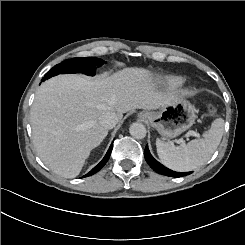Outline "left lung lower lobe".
Instances as JSON below:
<instances>
[{"mask_svg":"<svg viewBox=\"0 0 245 245\" xmlns=\"http://www.w3.org/2000/svg\"><path fill=\"white\" fill-rule=\"evenodd\" d=\"M144 156L149 166L159 174L170 176V177H182L190 174V172L179 173L166 168L152 157V155L149 152L148 146L145 147Z\"/></svg>","mask_w":245,"mask_h":245,"instance_id":"0a47b994","label":"left lung lower lobe"}]
</instances>
